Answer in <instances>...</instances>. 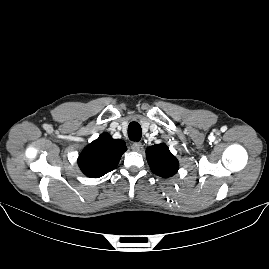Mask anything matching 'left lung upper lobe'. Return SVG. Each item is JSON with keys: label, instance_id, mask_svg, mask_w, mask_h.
<instances>
[{"label": "left lung upper lobe", "instance_id": "5c2ea615", "mask_svg": "<svg viewBox=\"0 0 269 269\" xmlns=\"http://www.w3.org/2000/svg\"><path fill=\"white\" fill-rule=\"evenodd\" d=\"M146 157L152 172L156 175L167 178L178 171L179 163L164 143L148 147Z\"/></svg>", "mask_w": 269, "mask_h": 269}]
</instances>
